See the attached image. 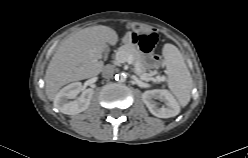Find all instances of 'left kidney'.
Wrapping results in <instances>:
<instances>
[{"instance_id":"5707ae66","label":"left kidney","mask_w":248,"mask_h":158,"mask_svg":"<svg viewBox=\"0 0 248 158\" xmlns=\"http://www.w3.org/2000/svg\"><path fill=\"white\" fill-rule=\"evenodd\" d=\"M142 100L149 109V111L159 118H170L179 114L180 106L172 96V94L165 89L148 90L142 94ZM156 100L163 102L159 106Z\"/></svg>"}]
</instances>
